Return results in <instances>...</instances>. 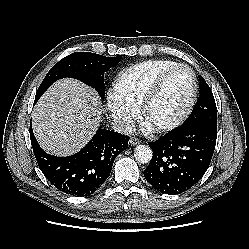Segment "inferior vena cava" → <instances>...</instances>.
<instances>
[{
	"instance_id": "1",
	"label": "inferior vena cava",
	"mask_w": 249,
	"mask_h": 249,
	"mask_svg": "<svg viewBox=\"0 0 249 249\" xmlns=\"http://www.w3.org/2000/svg\"><path fill=\"white\" fill-rule=\"evenodd\" d=\"M111 127L115 132L131 135L135 132V126L127 121L113 120L111 122Z\"/></svg>"
}]
</instances>
